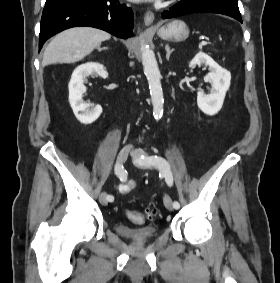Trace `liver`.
Segmentation results:
<instances>
[{
	"label": "liver",
	"instance_id": "obj_1",
	"mask_svg": "<svg viewBox=\"0 0 280 283\" xmlns=\"http://www.w3.org/2000/svg\"><path fill=\"white\" fill-rule=\"evenodd\" d=\"M111 35L92 27H76L56 35L45 49L43 66L82 60Z\"/></svg>",
	"mask_w": 280,
	"mask_h": 283
}]
</instances>
